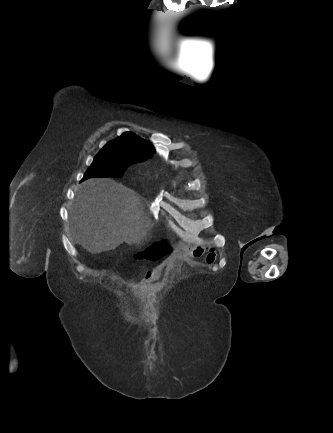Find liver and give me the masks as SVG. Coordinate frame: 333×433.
Wrapping results in <instances>:
<instances>
[{"instance_id": "liver-1", "label": "liver", "mask_w": 333, "mask_h": 433, "mask_svg": "<svg viewBox=\"0 0 333 433\" xmlns=\"http://www.w3.org/2000/svg\"><path fill=\"white\" fill-rule=\"evenodd\" d=\"M69 221L75 241L91 254L115 250L123 242L141 245L153 227L139 194L109 178L78 186Z\"/></svg>"}]
</instances>
